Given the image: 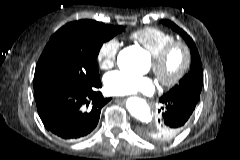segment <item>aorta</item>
Returning <instances> with one entry per match:
<instances>
[{"label":"aorta","mask_w":240,"mask_h":160,"mask_svg":"<svg viewBox=\"0 0 240 160\" xmlns=\"http://www.w3.org/2000/svg\"><path fill=\"white\" fill-rule=\"evenodd\" d=\"M125 60H128L132 68L135 70H140L146 63V57L143 50L135 47H130L120 52L118 56V64L121 66ZM126 106L132 116L143 123H151V110L143 99L130 97L126 101Z\"/></svg>","instance_id":"1"}]
</instances>
